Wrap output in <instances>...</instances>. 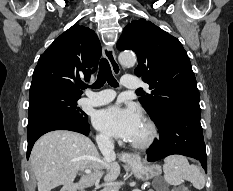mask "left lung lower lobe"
I'll list each match as a JSON object with an SVG mask.
<instances>
[{
  "instance_id": "0a47b994",
  "label": "left lung lower lobe",
  "mask_w": 233,
  "mask_h": 191,
  "mask_svg": "<svg viewBox=\"0 0 233 191\" xmlns=\"http://www.w3.org/2000/svg\"><path fill=\"white\" fill-rule=\"evenodd\" d=\"M201 112L191 109H169L159 114L156 123L160 137L147 151V160L154 162L172 154L200 161L207 172V155L200 123Z\"/></svg>"
}]
</instances>
